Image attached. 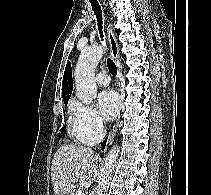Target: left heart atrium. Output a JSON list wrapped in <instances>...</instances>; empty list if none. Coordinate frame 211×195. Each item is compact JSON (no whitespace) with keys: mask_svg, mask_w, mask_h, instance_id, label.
Masks as SVG:
<instances>
[{"mask_svg":"<svg viewBox=\"0 0 211 195\" xmlns=\"http://www.w3.org/2000/svg\"><path fill=\"white\" fill-rule=\"evenodd\" d=\"M97 104L101 115L106 120H113L118 114L120 108L119 97L112 90L101 92L97 98Z\"/></svg>","mask_w":211,"mask_h":195,"instance_id":"39dd6f15","label":"left heart atrium"}]
</instances>
